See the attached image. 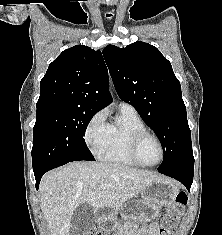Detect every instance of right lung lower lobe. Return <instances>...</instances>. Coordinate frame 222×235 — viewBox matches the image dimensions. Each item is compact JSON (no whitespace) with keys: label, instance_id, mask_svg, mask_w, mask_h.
<instances>
[{"label":"right lung lower lobe","instance_id":"1","mask_svg":"<svg viewBox=\"0 0 222 235\" xmlns=\"http://www.w3.org/2000/svg\"><path fill=\"white\" fill-rule=\"evenodd\" d=\"M69 162H72V161H66V162H59V163L51 164V165H48V166L42 168L41 170L35 171L34 175H35V179H36V188L38 189L41 177L43 176V174L45 172H47L51 169H54L56 167H59L61 165H64L66 163H69Z\"/></svg>","mask_w":222,"mask_h":235}]
</instances>
